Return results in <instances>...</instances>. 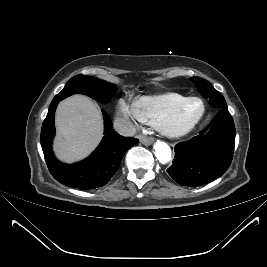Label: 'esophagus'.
I'll return each mask as SVG.
<instances>
[{
  "label": "esophagus",
  "mask_w": 267,
  "mask_h": 267,
  "mask_svg": "<svg viewBox=\"0 0 267 267\" xmlns=\"http://www.w3.org/2000/svg\"><path fill=\"white\" fill-rule=\"evenodd\" d=\"M139 141L145 145H149L153 142V139L151 137L140 135Z\"/></svg>",
  "instance_id": "obj_1"
}]
</instances>
